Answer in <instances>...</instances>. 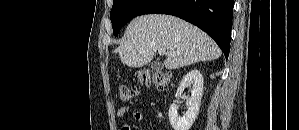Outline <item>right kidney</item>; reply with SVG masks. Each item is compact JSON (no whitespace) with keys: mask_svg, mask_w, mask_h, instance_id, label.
I'll return each mask as SVG.
<instances>
[{"mask_svg":"<svg viewBox=\"0 0 299 130\" xmlns=\"http://www.w3.org/2000/svg\"><path fill=\"white\" fill-rule=\"evenodd\" d=\"M188 86H192V90L191 96L186 102L187 111L184 116L178 115L179 107L176 103L169 108V121L174 130H189L198 116L203 94V76L199 70L193 69L182 78L177 88L176 97L180 96Z\"/></svg>","mask_w":299,"mask_h":130,"instance_id":"1","label":"right kidney"}]
</instances>
